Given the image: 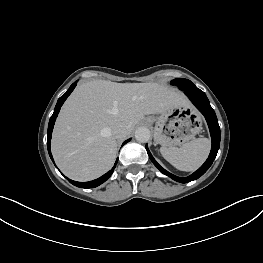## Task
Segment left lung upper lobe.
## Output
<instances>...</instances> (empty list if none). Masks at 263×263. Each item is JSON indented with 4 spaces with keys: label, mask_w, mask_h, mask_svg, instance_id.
Segmentation results:
<instances>
[{
    "label": "left lung upper lobe",
    "mask_w": 263,
    "mask_h": 263,
    "mask_svg": "<svg viewBox=\"0 0 263 263\" xmlns=\"http://www.w3.org/2000/svg\"><path fill=\"white\" fill-rule=\"evenodd\" d=\"M172 85H176L181 90H192L197 87L188 79L177 78L171 82Z\"/></svg>",
    "instance_id": "obj_1"
}]
</instances>
